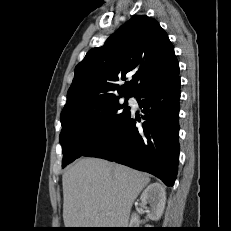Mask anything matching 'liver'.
<instances>
[{"label": "liver", "instance_id": "1", "mask_svg": "<svg viewBox=\"0 0 231 231\" xmlns=\"http://www.w3.org/2000/svg\"><path fill=\"white\" fill-rule=\"evenodd\" d=\"M150 182L126 166L82 158L62 176L66 228H127L133 202Z\"/></svg>", "mask_w": 231, "mask_h": 231}]
</instances>
